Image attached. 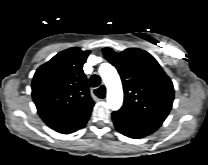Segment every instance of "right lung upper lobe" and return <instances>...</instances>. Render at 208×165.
Returning <instances> with one entry per match:
<instances>
[{
	"label": "right lung upper lobe",
	"instance_id": "obj_1",
	"mask_svg": "<svg viewBox=\"0 0 208 165\" xmlns=\"http://www.w3.org/2000/svg\"><path fill=\"white\" fill-rule=\"evenodd\" d=\"M90 51L77 47L55 55L40 66L32 81L38 114L53 130L69 134L87 123L94 101L83 71Z\"/></svg>",
	"mask_w": 208,
	"mask_h": 165
}]
</instances>
